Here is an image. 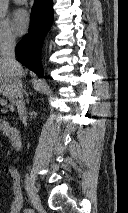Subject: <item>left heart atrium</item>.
Returning a JSON list of instances; mask_svg holds the SVG:
<instances>
[{
    "label": "left heart atrium",
    "instance_id": "1",
    "mask_svg": "<svg viewBox=\"0 0 128 213\" xmlns=\"http://www.w3.org/2000/svg\"><path fill=\"white\" fill-rule=\"evenodd\" d=\"M12 24L18 34H24L30 26V15L25 9H17L13 13Z\"/></svg>",
    "mask_w": 128,
    "mask_h": 213
}]
</instances>
